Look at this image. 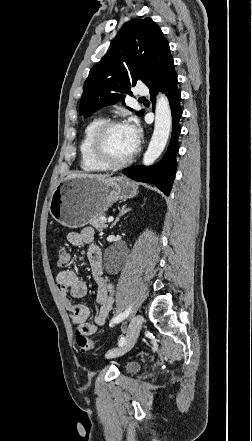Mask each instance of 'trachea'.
Listing matches in <instances>:
<instances>
[{"label": "trachea", "mask_w": 252, "mask_h": 441, "mask_svg": "<svg viewBox=\"0 0 252 441\" xmlns=\"http://www.w3.org/2000/svg\"><path fill=\"white\" fill-rule=\"evenodd\" d=\"M139 100H145V97H140Z\"/></svg>", "instance_id": "trachea-1"}]
</instances>
